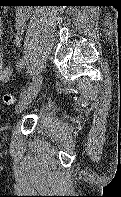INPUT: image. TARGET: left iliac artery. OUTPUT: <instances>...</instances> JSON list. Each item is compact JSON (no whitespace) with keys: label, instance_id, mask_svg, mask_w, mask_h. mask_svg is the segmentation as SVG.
I'll list each match as a JSON object with an SVG mask.
<instances>
[{"label":"left iliac artery","instance_id":"44dca946","mask_svg":"<svg viewBox=\"0 0 121 197\" xmlns=\"http://www.w3.org/2000/svg\"><path fill=\"white\" fill-rule=\"evenodd\" d=\"M29 59H30V58H29L28 55L22 57V58L20 59V61L18 62V64H17V70H18V71H21L23 68H25L26 65H27L28 62H29Z\"/></svg>","mask_w":121,"mask_h":197}]
</instances>
